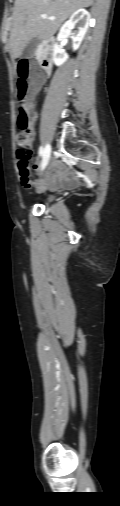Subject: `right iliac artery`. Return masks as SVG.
Returning <instances> with one entry per match:
<instances>
[{
    "mask_svg": "<svg viewBox=\"0 0 120 506\" xmlns=\"http://www.w3.org/2000/svg\"><path fill=\"white\" fill-rule=\"evenodd\" d=\"M44 152H45V148H43L42 146L39 148V157H42L44 155ZM48 163V159H45L43 164H42V167L45 168V166L47 165Z\"/></svg>",
    "mask_w": 120,
    "mask_h": 506,
    "instance_id": "obj_1",
    "label": "right iliac artery"
}]
</instances>
